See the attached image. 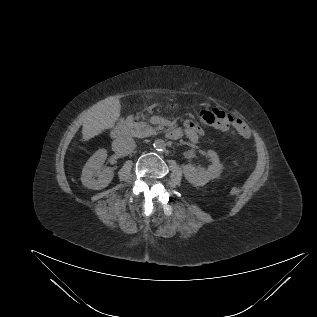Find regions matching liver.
<instances>
[{
	"instance_id": "liver-1",
	"label": "liver",
	"mask_w": 317,
	"mask_h": 317,
	"mask_svg": "<svg viewBox=\"0 0 317 317\" xmlns=\"http://www.w3.org/2000/svg\"><path fill=\"white\" fill-rule=\"evenodd\" d=\"M121 104L115 96L108 97L93 105L83 114V141L110 129L120 116Z\"/></svg>"
}]
</instances>
